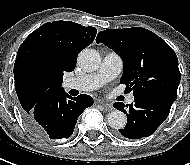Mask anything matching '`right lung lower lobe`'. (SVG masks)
Returning <instances> with one entry per match:
<instances>
[{
    "label": "right lung lower lobe",
    "instance_id": "obj_1",
    "mask_svg": "<svg viewBox=\"0 0 190 165\" xmlns=\"http://www.w3.org/2000/svg\"><path fill=\"white\" fill-rule=\"evenodd\" d=\"M93 99L89 95L69 96L62 88L45 93L22 117L28 128L45 140L68 138L72 135L77 118Z\"/></svg>",
    "mask_w": 190,
    "mask_h": 165
}]
</instances>
